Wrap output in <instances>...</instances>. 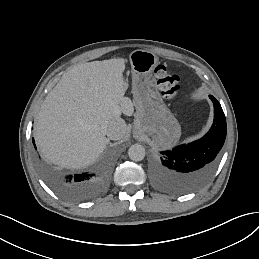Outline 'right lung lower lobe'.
I'll return each instance as SVG.
<instances>
[{
	"instance_id": "right-lung-lower-lobe-1",
	"label": "right lung lower lobe",
	"mask_w": 259,
	"mask_h": 259,
	"mask_svg": "<svg viewBox=\"0 0 259 259\" xmlns=\"http://www.w3.org/2000/svg\"><path fill=\"white\" fill-rule=\"evenodd\" d=\"M32 140L36 149L34 139ZM45 175L60 193L77 200L89 199L97 195L106 183V177L95 172L58 176L55 173L45 171Z\"/></svg>"
}]
</instances>
